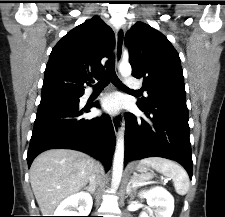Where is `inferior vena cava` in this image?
Masks as SVG:
<instances>
[{
  "label": "inferior vena cava",
  "instance_id": "inferior-vena-cava-1",
  "mask_svg": "<svg viewBox=\"0 0 225 217\" xmlns=\"http://www.w3.org/2000/svg\"><path fill=\"white\" fill-rule=\"evenodd\" d=\"M102 173V167L101 165L98 163V165L96 166V168L94 169V171L92 172V174L89 177V181H90V186L92 185H96L97 182L100 179V175Z\"/></svg>",
  "mask_w": 225,
  "mask_h": 217
}]
</instances>
